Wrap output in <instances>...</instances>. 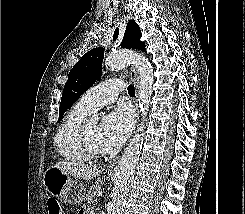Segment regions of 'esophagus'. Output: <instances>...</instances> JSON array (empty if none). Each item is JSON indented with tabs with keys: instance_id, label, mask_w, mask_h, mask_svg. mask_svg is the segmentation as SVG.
Returning a JSON list of instances; mask_svg holds the SVG:
<instances>
[{
	"instance_id": "1",
	"label": "esophagus",
	"mask_w": 245,
	"mask_h": 214,
	"mask_svg": "<svg viewBox=\"0 0 245 214\" xmlns=\"http://www.w3.org/2000/svg\"><path fill=\"white\" fill-rule=\"evenodd\" d=\"M130 78L134 83L135 86V104L137 109V119L139 117V106H138V93H139V75L138 72L134 67L130 69ZM119 159H114L113 161L109 162V167L113 168L118 163Z\"/></svg>"
}]
</instances>
